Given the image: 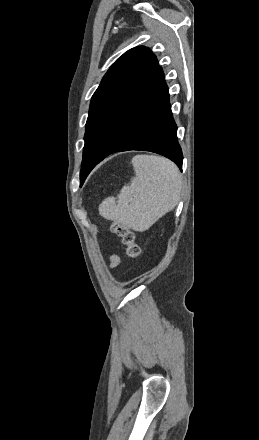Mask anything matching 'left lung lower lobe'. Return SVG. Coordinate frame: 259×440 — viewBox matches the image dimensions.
<instances>
[{"mask_svg":"<svg viewBox=\"0 0 259 440\" xmlns=\"http://www.w3.org/2000/svg\"><path fill=\"white\" fill-rule=\"evenodd\" d=\"M128 150L158 153L182 169L183 155L177 140V126L171 112L164 73L159 65L148 86L117 126L95 165L109 154Z\"/></svg>","mask_w":259,"mask_h":440,"instance_id":"obj_1","label":"left lung lower lobe"}]
</instances>
